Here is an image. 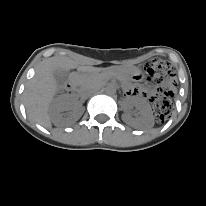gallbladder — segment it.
I'll return each mask as SVG.
<instances>
[{
	"label": "gallbladder",
	"mask_w": 206,
	"mask_h": 206,
	"mask_svg": "<svg viewBox=\"0 0 206 206\" xmlns=\"http://www.w3.org/2000/svg\"><path fill=\"white\" fill-rule=\"evenodd\" d=\"M69 75H70V70L63 69V68H57L53 72V76L59 85L63 84Z\"/></svg>",
	"instance_id": "obj_1"
}]
</instances>
